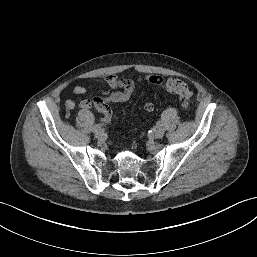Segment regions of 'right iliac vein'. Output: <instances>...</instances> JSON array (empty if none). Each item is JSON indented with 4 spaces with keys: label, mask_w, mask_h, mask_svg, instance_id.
<instances>
[{
    "label": "right iliac vein",
    "mask_w": 257,
    "mask_h": 257,
    "mask_svg": "<svg viewBox=\"0 0 257 257\" xmlns=\"http://www.w3.org/2000/svg\"><path fill=\"white\" fill-rule=\"evenodd\" d=\"M95 136L97 138H102L104 136V131L102 129H99L98 131L95 132Z\"/></svg>",
    "instance_id": "1"
}]
</instances>
